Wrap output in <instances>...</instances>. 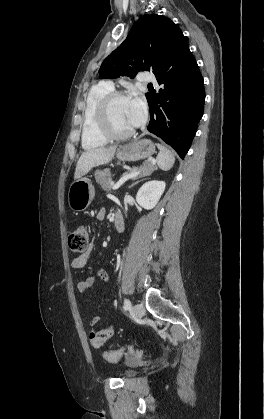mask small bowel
<instances>
[{
  "label": "small bowel",
  "mask_w": 264,
  "mask_h": 419,
  "mask_svg": "<svg viewBox=\"0 0 264 419\" xmlns=\"http://www.w3.org/2000/svg\"><path fill=\"white\" fill-rule=\"evenodd\" d=\"M103 216H104V211L101 210L98 213L97 217L98 219H102ZM90 254H91V251L88 250L82 253L81 255L75 257L72 260L71 266L74 269L85 268L90 258ZM97 278L102 279L108 282L109 284L111 283L110 277L105 271H98L94 275H91L84 280L78 281L77 283L78 291L80 293L88 292L92 288ZM99 321H100V318L96 315H92L89 320V324L92 327V330L89 333L90 344L92 345V347L97 348V349L105 346L114 337L116 333V330L114 326L112 325H109L100 329L95 328L98 325Z\"/></svg>",
  "instance_id": "c3829d8e"
}]
</instances>
